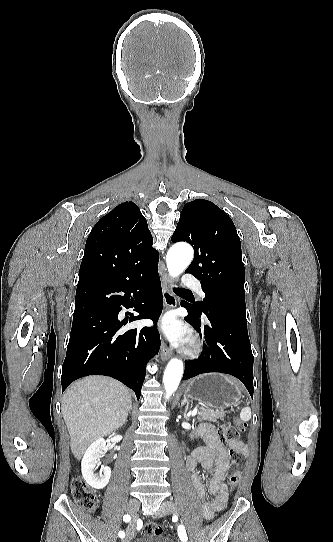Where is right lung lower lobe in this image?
Returning <instances> with one entry per match:
<instances>
[{"label":"right lung lower lobe","mask_w":333,"mask_h":542,"mask_svg":"<svg viewBox=\"0 0 333 542\" xmlns=\"http://www.w3.org/2000/svg\"><path fill=\"white\" fill-rule=\"evenodd\" d=\"M159 256L134 250L117 254L108 249H85L81 268L123 266L129 277L119 283L95 282L77 285L72 329L62 368V391L87 375L113 377L140 397L146 363L160 348L156 327L125 329L129 322H157L163 307L157 271ZM135 307L139 315L123 308ZM129 314V316H128Z\"/></svg>","instance_id":"98d812e1"}]
</instances>
